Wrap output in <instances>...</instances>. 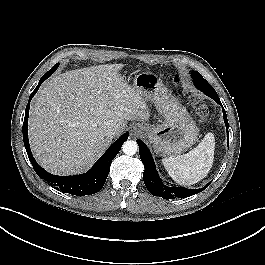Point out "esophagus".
I'll use <instances>...</instances> for the list:
<instances>
[{
    "label": "esophagus",
    "mask_w": 265,
    "mask_h": 265,
    "mask_svg": "<svg viewBox=\"0 0 265 265\" xmlns=\"http://www.w3.org/2000/svg\"><path fill=\"white\" fill-rule=\"evenodd\" d=\"M141 132V130L137 127H133L131 130V135L136 136Z\"/></svg>",
    "instance_id": "34e87169"
}]
</instances>
